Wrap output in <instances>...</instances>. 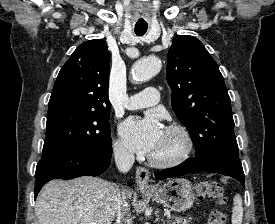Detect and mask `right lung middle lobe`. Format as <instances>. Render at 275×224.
<instances>
[{
  "label": "right lung middle lobe",
  "instance_id": "1",
  "mask_svg": "<svg viewBox=\"0 0 275 224\" xmlns=\"http://www.w3.org/2000/svg\"><path fill=\"white\" fill-rule=\"evenodd\" d=\"M109 111L63 110L48 114L43 152L97 147L111 141Z\"/></svg>",
  "mask_w": 275,
  "mask_h": 224
}]
</instances>
